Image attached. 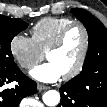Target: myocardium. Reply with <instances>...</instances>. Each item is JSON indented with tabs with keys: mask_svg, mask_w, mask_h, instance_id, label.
Wrapping results in <instances>:
<instances>
[{
	"mask_svg": "<svg viewBox=\"0 0 107 107\" xmlns=\"http://www.w3.org/2000/svg\"><path fill=\"white\" fill-rule=\"evenodd\" d=\"M74 28H79L83 33V38H84L83 47L75 67L71 71L63 75V78L65 80H71L76 76H78L82 72L85 66L90 49V33L88 31V28L82 22L79 21H74L68 24L66 27L62 29V31L59 33L54 43L47 50V54H48L50 52L60 49L63 46L69 32Z\"/></svg>",
	"mask_w": 107,
	"mask_h": 107,
	"instance_id": "f54148a6",
	"label": "myocardium"
}]
</instances>
